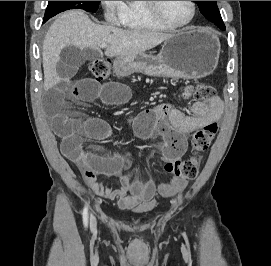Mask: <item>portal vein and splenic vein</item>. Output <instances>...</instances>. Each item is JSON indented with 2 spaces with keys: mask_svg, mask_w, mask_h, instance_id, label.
Returning <instances> with one entry per match:
<instances>
[{
  "mask_svg": "<svg viewBox=\"0 0 271 266\" xmlns=\"http://www.w3.org/2000/svg\"><path fill=\"white\" fill-rule=\"evenodd\" d=\"M100 47H101V48H107L108 45H107V44H102Z\"/></svg>",
  "mask_w": 271,
  "mask_h": 266,
  "instance_id": "18ae733b",
  "label": "portal vein and splenic vein"
}]
</instances>
